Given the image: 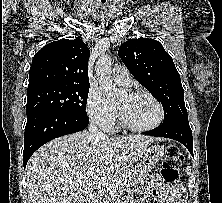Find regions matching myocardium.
<instances>
[{"mask_svg":"<svg viewBox=\"0 0 222 203\" xmlns=\"http://www.w3.org/2000/svg\"><path fill=\"white\" fill-rule=\"evenodd\" d=\"M125 95L128 97L143 96V97L149 98L157 106L158 111H159V116H158L157 120L150 125L136 126V125H133L130 122H128V120L122 114L121 110L118 108L117 109L118 110V117H119L121 125L124 128L134 131V132H146V131L153 130V129L157 128L159 125H161V123L163 122L164 117H165L164 107L161 104V102L153 94L146 92V91H133V92H127Z\"/></svg>","mask_w":222,"mask_h":203,"instance_id":"myocardium-1","label":"myocardium"}]
</instances>
